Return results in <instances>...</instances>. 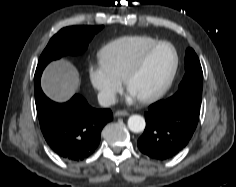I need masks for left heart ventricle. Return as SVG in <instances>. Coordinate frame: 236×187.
Masks as SVG:
<instances>
[{"mask_svg": "<svg viewBox=\"0 0 236 187\" xmlns=\"http://www.w3.org/2000/svg\"><path fill=\"white\" fill-rule=\"evenodd\" d=\"M174 62V54L170 47L161 46L154 50L146 60L141 71L129 85L137 98L157 91L166 81Z\"/></svg>", "mask_w": 236, "mask_h": 187, "instance_id": "1", "label": "left heart ventricle"}]
</instances>
